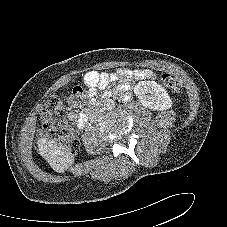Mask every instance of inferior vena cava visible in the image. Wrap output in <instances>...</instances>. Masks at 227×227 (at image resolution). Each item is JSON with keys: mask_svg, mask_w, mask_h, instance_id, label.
<instances>
[{"mask_svg": "<svg viewBox=\"0 0 227 227\" xmlns=\"http://www.w3.org/2000/svg\"><path fill=\"white\" fill-rule=\"evenodd\" d=\"M103 115V109L102 108H94L92 112L90 113V119L92 121H96L97 119L101 118Z\"/></svg>", "mask_w": 227, "mask_h": 227, "instance_id": "obj_1", "label": "inferior vena cava"}]
</instances>
